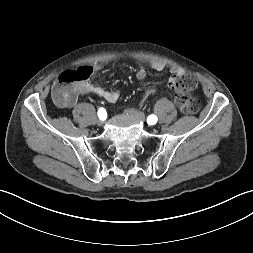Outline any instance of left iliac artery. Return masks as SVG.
I'll return each instance as SVG.
<instances>
[{
    "label": "left iliac artery",
    "instance_id": "1",
    "mask_svg": "<svg viewBox=\"0 0 253 253\" xmlns=\"http://www.w3.org/2000/svg\"><path fill=\"white\" fill-rule=\"evenodd\" d=\"M157 122V116L156 115H150L147 117V123L149 125H153Z\"/></svg>",
    "mask_w": 253,
    "mask_h": 253
}]
</instances>
